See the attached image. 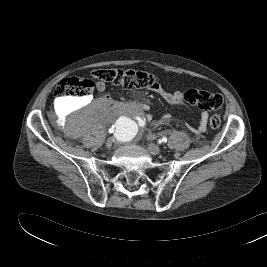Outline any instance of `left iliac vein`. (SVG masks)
I'll use <instances>...</instances> for the list:
<instances>
[{
	"instance_id": "obj_1",
	"label": "left iliac vein",
	"mask_w": 267,
	"mask_h": 267,
	"mask_svg": "<svg viewBox=\"0 0 267 267\" xmlns=\"http://www.w3.org/2000/svg\"><path fill=\"white\" fill-rule=\"evenodd\" d=\"M147 149L153 155L160 154V152H161L160 147L158 145H156V144H153V143H149L147 145Z\"/></svg>"
}]
</instances>
